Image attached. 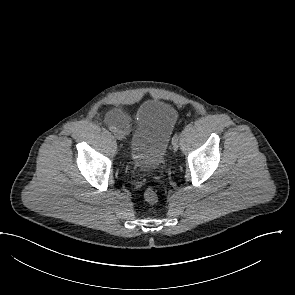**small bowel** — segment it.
<instances>
[{
	"label": "small bowel",
	"mask_w": 295,
	"mask_h": 295,
	"mask_svg": "<svg viewBox=\"0 0 295 295\" xmlns=\"http://www.w3.org/2000/svg\"><path fill=\"white\" fill-rule=\"evenodd\" d=\"M108 121L114 125H118L124 129L130 126V117L121 111H114L108 115Z\"/></svg>",
	"instance_id": "c3829d8e"
}]
</instances>
